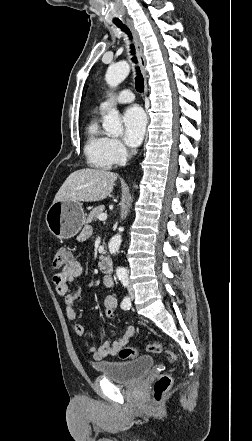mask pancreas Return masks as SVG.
Instances as JSON below:
<instances>
[{"label":"pancreas","mask_w":252,"mask_h":441,"mask_svg":"<svg viewBox=\"0 0 252 441\" xmlns=\"http://www.w3.org/2000/svg\"><path fill=\"white\" fill-rule=\"evenodd\" d=\"M104 209H105L104 206H98V207L94 208L90 212V214L87 218V221L88 222L96 221L98 219V216L103 213Z\"/></svg>","instance_id":"pancreas-1"}]
</instances>
